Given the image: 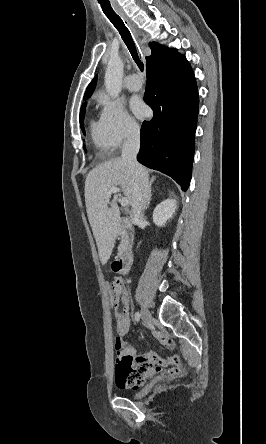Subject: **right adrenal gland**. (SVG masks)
I'll use <instances>...</instances> for the list:
<instances>
[{
	"label": "right adrenal gland",
	"instance_id": "2a0ac1e0",
	"mask_svg": "<svg viewBox=\"0 0 266 444\" xmlns=\"http://www.w3.org/2000/svg\"><path fill=\"white\" fill-rule=\"evenodd\" d=\"M151 197H152V190H151V184H150L149 198H148V202H147V205H146V208H145L146 210L149 208Z\"/></svg>",
	"mask_w": 266,
	"mask_h": 444
}]
</instances>
